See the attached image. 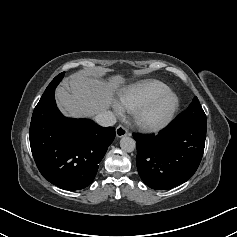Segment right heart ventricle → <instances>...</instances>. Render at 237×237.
I'll use <instances>...</instances> for the list:
<instances>
[{
    "label": "right heart ventricle",
    "mask_w": 237,
    "mask_h": 237,
    "mask_svg": "<svg viewBox=\"0 0 237 237\" xmlns=\"http://www.w3.org/2000/svg\"><path fill=\"white\" fill-rule=\"evenodd\" d=\"M169 90V87L158 80H143L124 89L118 97V103L124 111H134L145 101Z\"/></svg>",
    "instance_id": "obj_1"
}]
</instances>
